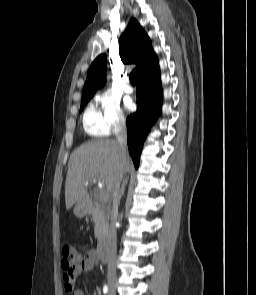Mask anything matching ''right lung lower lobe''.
<instances>
[{"label":"right lung lower lobe","mask_w":256,"mask_h":295,"mask_svg":"<svg viewBox=\"0 0 256 295\" xmlns=\"http://www.w3.org/2000/svg\"><path fill=\"white\" fill-rule=\"evenodd\" d=\"M136 80L137 111L127 118L126 125L129 153L138 168L143 142L161 111L162 89L158 63Z\"/></svg>","instance_id":"right-lung-lower-lobe-1"}]
</instances>
